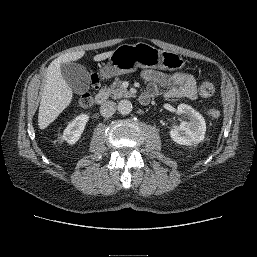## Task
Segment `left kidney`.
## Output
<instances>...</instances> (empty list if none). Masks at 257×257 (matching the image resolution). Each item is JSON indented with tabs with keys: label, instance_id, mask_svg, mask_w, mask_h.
Wrapping results in <instances>:
<instances>
[{
	"label": "left kidney",
	"instance_id": "5707ae66",
	"mask_svg": "<svg viewBox=\"0 0 257 257\" xmlns=\"http://www.w3.org/2000/svg\"><path fill=\"white\" fill-rule=\"evenodd\" d=\"M177 112L184 114L189 121L172 128L169 132L171 139L180 145L196 146L205 138L206 123L203 116L186 104L178 105Z\"/></svg>",
	"mask_w": 257,
	"mask_h": 257
}]
</instances>
